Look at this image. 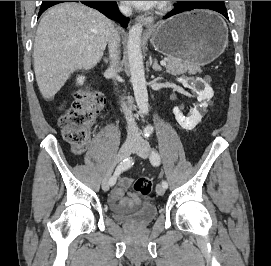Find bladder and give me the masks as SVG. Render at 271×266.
Segmentation results:
<instances>
[{
	"label": "bladder",
	"instance_id": "bladder-1",
	"mask_svg": "<svg viewBox=\"0 0 271 266\" xmlns=\"http://www.w3.org/2000/svg\"><path fill=\"white\" fill-rule=\"evenodd\" d=\"M114 212L117 220L127 222L135 226H145L157 216V208L151 203H145L134 209V211L124 215L117 214L116 210H114Z\"/></svg>",
	"mask_w": 271,
	"mask_h": 266
}]
</instances>
